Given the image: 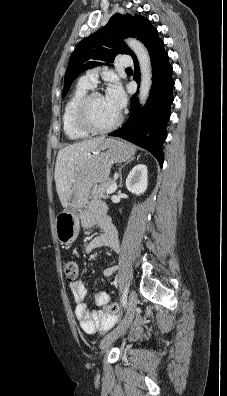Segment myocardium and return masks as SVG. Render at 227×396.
I'll use <instances>...</instances> for the list:
<instances>
[{"label":"myocardium","instance_id":"1","mask_svg":"<svg viewBox=\"0 0 227 396\" xmlns=\"http://www.w3.org/2000/svg\"><path fill=\"white\" fill-rule=\"evenodd\" d=\"M96 96H102L101 92L97 90L88 91L78 102L76 107V121L77 124L88 133L103 134L116 129L122 122V114L119 113L114 122L105 127L96 126L90 117V103Z\"/></svg>","mask_w":227,"mask_h":396}]
</instances>
